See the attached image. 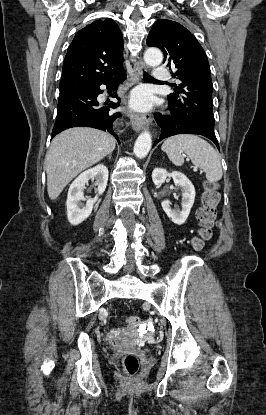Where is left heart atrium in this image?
<instances>
[{"label":"left heart atrium","instance_id":"1","mask_svg":"<svg viewBox=\"0 0 266 415\" xmlns=\"http://www.w3.org/2000/svg\"><path fill=\"white\" fill-rule=\"evenodd\" d=\"M132 106L137 110H147L151 106L149 93L145 89H138L133 93Z\"/></svg>","mask_w":266,"mask_h":415}]
</instances>
